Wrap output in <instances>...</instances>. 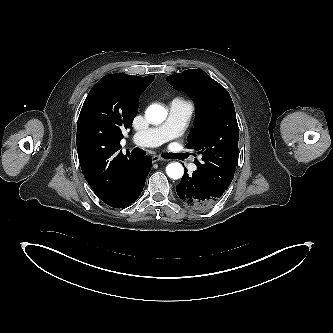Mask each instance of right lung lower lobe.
<instances>
[{
	"label": "right lung lower lobe",
	"mask_w": 333,
	"mask_h": 333,
	"mask_svg": "<svg viewBox=\"0 0 333 333\" xmlns=\"http://www.w3.org/2000/svg\"><path fill=\"white\" fill-rule=\"evenodd\" d=\"M151 164L152 158L149 156L134 157L126 165L119 191L113 198L104 203L114 208L131 205L143 190Z\"/></svg>",
	"instance_id": "1"
}]
</instances>
